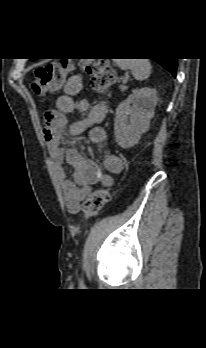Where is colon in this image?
<instances>
[{"label":"colon","mask_w":206,"mask_h":348,"mask_svg":"<svg viewBox=\"0 0 206 348\" xmlns=\"http://www.w3.org/2000/svg\"><path fill=\"white\" fill-rule=\"evenodd\" d=\"M81 68L90 76L93 89L105 92L115 81L114 69L102 58L81 60ZM71 62L59 60L37 68L33 73L32 89L37 95H47L55 92L64 82ZM111 199V191L100 188L92 192L82 205L86 219L96 216Z\"/></svg>","instance_id":"1"}]
</instances>
